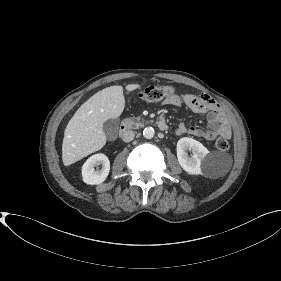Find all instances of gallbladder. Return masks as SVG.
<instances>
[{"label": "gallbladder", "instance_id": "bac80fb5", "mask_svg": "<svg viewBox=\"0 0 281 281\" xmlns=\"http://www.w3.org/2000/svg\"><path fill=\"white\" fill-rule=\"evenodd\" d=\"M119 129L118 119H109L103 124V131L107 138L113 139L117 136Z\"/></svg>", "mask_w": 281, "mask_h": 281}]
</instances>
